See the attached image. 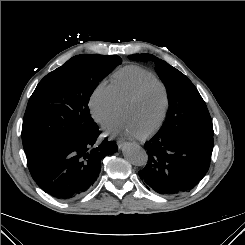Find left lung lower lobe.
Segmentation results:
<instances>
[{"label":"left lung lower lobe","instance_id":"left-lung-lower-lobe-1","mask_svg":"<svg viewBox=\"0 0 245 245\" xmlns=\"http://www.w3.org/2000/svg\"><path fill=\"white\" fill-rule=\"evenodd\" d=\"M148 163L138 172L148 189L177 196L190 191L207 173L213 150V134L180 126L157 132L145 143Z\"/></svg>","mask_w":245,"mask_h":245}]
</instances>
